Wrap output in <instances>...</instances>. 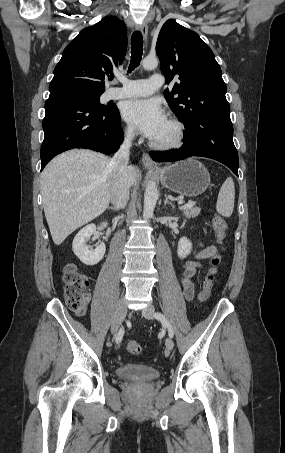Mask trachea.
Instances as JSON below:
<instances>
[{"label": "trachea", "mask_w": 285, "mask_h": 453, "mask_svg": "<svg viewBox=\"0 0 285 453\" xmlns=\"http://www.w3.org/2000/svg\"><path fill=\"white\" fill-rule=\"evenodd\" d=\"M143 54V38L140 31H135L131 37V60L128 72L139 66Z\"/></svg>", "instance_id": "1"}]
</instances>
